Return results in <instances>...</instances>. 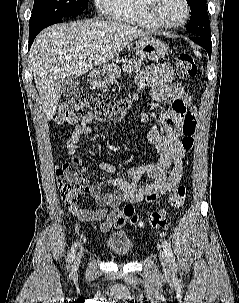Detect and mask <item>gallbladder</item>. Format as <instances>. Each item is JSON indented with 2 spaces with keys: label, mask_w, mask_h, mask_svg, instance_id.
I'll use <instances>...</instances> for the list:
<instances>
[{
  "label": "gallbladder",
  "mask_w": 239,
  "mask_h": 303,
  "mask_svg": "<svg viewBox=\"0 0 239 303\" xmlns=\"http://www.w3.org/2000/svg\"><path fill=\"white\" fill-rule=\"evenodd\" d=\"M79 80L78 77H67L65 80L62 82L61 85V93L64 96H71L75 94L78 89H79Z\"/></svg>",
  "instance_id": "obj_1"
}]
</instances>
